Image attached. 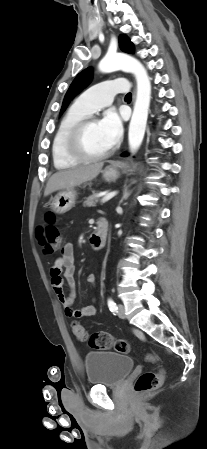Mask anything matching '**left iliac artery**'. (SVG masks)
Returning a JSON list of instances; mask_svg holds the SVG:
<instances>
[{
  "mask_svg": "<svg viewBox=\"0 0 207 449\" xmlns=\"http://www.w3.org/2000/svg\"><path fill=\"white\" fill-rule=\"evenodd\" d=\"M107 303H108L109 310L112 313H116L118 308H117L116 303L113 301V299L109 298Z\"/></svg>",
  "mask_w": 207,
  "mask_h": 449,
  "instance_id": "left-iliac-artery-1",
  "label": "left iliac artery"
}]
</instances>
